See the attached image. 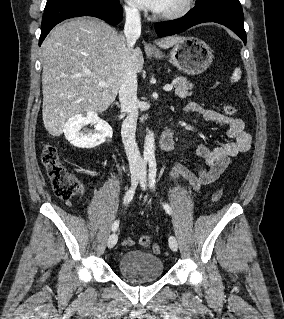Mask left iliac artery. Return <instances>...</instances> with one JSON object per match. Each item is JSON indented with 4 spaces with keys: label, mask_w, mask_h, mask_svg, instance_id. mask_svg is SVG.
Masks as SVG:
<instances>
[{
    "label": "left iliac artery",
    "mask_w": 284,
    "mask_h": 319,
    "mask_svg": "<svg viewBox=\"0 0 284 319\" xmlns=\"http://www.w3.org/2000/svg\"><path fill=\"white\" fill-rule=\"evenodd\" d=\"M156 170V160L151 158L149 160V185L152 190H155ZM162 205L168 214H172V209L167 203H163Z\"/></svg>",
    "instance_id": "44dca946"
}]
</instances>
